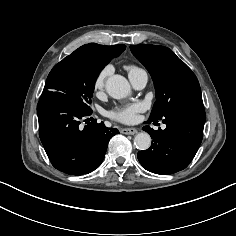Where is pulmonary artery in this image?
Returning a JSON list of instances; mask_svg holds the SVG:
<instances>
[{
	"instance_id": "obj_1",
	"label": "pulmonary artery",
	"mask_w": 236,
	"mask_h": 236,
	"mask_svg": "<svg viewBox=\"0 0 236 236\" xmlns=\"http://www.w3.org/2000/svg\"><path fill=\"white\" fill-rule=\"evenodd\" d=\"M132 85L136 89H143L148 82V74L144 70H140L132 75H129ZM165 126H163L164 128Z\"/></svg>"
}]
</instances>
